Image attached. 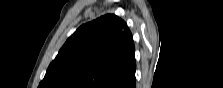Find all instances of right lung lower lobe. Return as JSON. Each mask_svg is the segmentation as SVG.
Masks as SVG:
<instances>
[{"instance_id": "right-lung-lower-lobe-1", "label": "right lung lower lobe", "mask_w": 223, "mask_h": 88, "mask_svg": "<svg viewBox=\"0 0 223 88\" xmlns=\"http://www.w3.org/2000/svg\"><path fill=\"white\" fill-rule=\"evenodd\" d=\"M136 86V82H135V75H134V79L131 81V88H135Z\"/></svg>"}]
</instances>
